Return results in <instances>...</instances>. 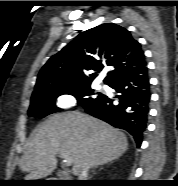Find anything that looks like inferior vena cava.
Returning <instances> with one entry per match:
<instances>
[{"label": "inferior vena cava", "mask_w": 178, "mask_h": 186, "mask_svg": "<svg viewBox=\"0 0 178 186\" xmlns=\"http://www.w3.org/2000/svg\"><path fill=\"white\" fill-rule=\"evenodd\" d=\"M89 166H85L79 175V180H87Z\"/></svg>", "instance_id": "602c4592"}]
</instances>
